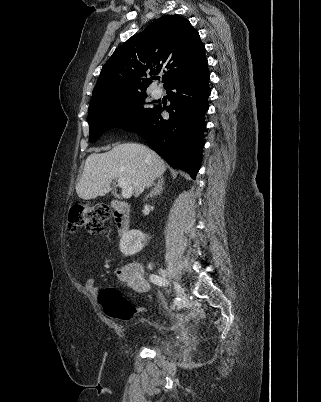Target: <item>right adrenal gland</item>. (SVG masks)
Masks as SVG:
<instances>
[{"label": "right adrenal gland", "instance_id": "2a0ac1e0", "mask_svg": "<svg viewBox=\"0 0 321 402\" xmlns=\"http://www.w3.org/2000/svg\"><path fill=\"white\" fill-rule=\"evenodd\" d=\"M163 185H164V177H160L155 188L150 192L149 195H147L146 199L152 198L157 194H160L163 191Z\"/></svg>", "mask_w": 321, "mask_h": 402}]
</instances>
